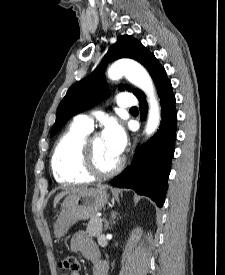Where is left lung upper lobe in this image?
Instances as JSON below:
<instances>
[{"instance_id":"1","label":"left lung upper lobe","mask_w":225,"mask_h":275,"mask_svg":"<svg viewBox=\"0 0 225 275\" xmlns=\"http://www.w3.org/2000/svg\"><path fill=\"white\" fill-rule=\"evenodd\" d=\"M120 58H131L140 62L147 68L153 80L164 69L140 41L129 35L119 37L117 42L108 50L99 67L68 89L59 104L51 136L55 135L73 115L97 105L105 97L107 84L104 70L106 64L109 59L113 61ZM133 93L138 97L143 92L135 89Z\"/></svg>"}]
</instances>
